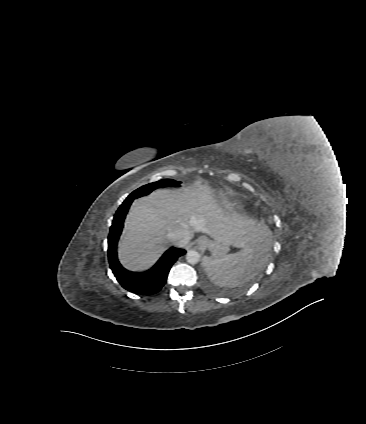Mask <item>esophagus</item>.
<instances>
[{
    "instance_id": "34e87169",
    "label": "esophagus",
    "mask_w": 366,
    "mask_h": 424,
    "mask_svg": "<svg viewBox=\"0 0 366 424\" xmlns=\"http://www.w3.org/2000/svg\"><path fill=\"white\" fill-rule=\"evenodd\" d=\"M199 243L202 247H206L208 245V239L206 237H203L201 238Z\"/></svg>"
}]
</instances>
